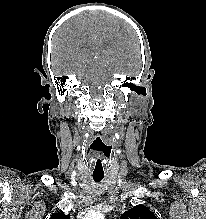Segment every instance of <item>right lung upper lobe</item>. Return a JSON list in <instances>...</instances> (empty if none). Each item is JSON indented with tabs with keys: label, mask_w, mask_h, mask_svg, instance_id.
Masks as SVG:
<instances>
[{
	"label": "right lung upper lobe",
	"mask_w": 206,
	"mask_h": 219,
	"mask_svg": "<svg viewBox=\"0 0 206 219\" xmlns=\"http://www.w3.org/2000/svg\"><path fill=\"white\" fill-rule=\"evenodd\" d=\"M69 218H70V214L65 215L63 212L54 213L50 217V219H69Z\"/></svg>",
	"instance_id": "1"
}]
</instances>
